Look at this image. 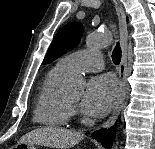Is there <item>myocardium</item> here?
Listing matches in <instances>:
<instances>
[{"instance_id": "f54148a6", "label": "myocardium", "mask_w": 155, "mask_h": 149, "mask_svg": "<svg viewBox=\"0 0 155 149\" xmlns=\"http://www.w3.org/2000/svg\"><path fill=\"white\" fill-rule=\"evenodd\" d=\"M68 103L70 104L71 107L74 106V104L69 100H68Z\"/></svg>"}]
</instances>
